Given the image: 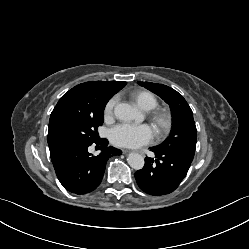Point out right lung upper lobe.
I'll return each mask as SVG.
<instances>
[{"instance_id":"right-lung-upper-lobe-1","label":"right lung upper lobe","mask_w":249,"mask_h":249,"mask_svg":"<svg viewBox=\"0 0 249 249\" xmlns=\"http://www.w3.org/2000/svg\"><path fill=\"white\" fill-rule=\"evenodd\" d=\"M125 85L126 82L119 81H90L73 87L60 98L49 120L48 145L52 161L67 150L60 134L63 123L94 114L101 103H107Z\"/></svg>"}]
</instances>
